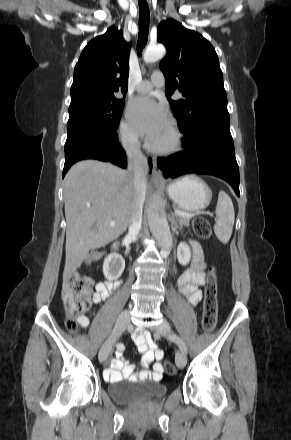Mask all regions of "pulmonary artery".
<instances>
[{
  "mask_svg": "<svg viewBox=\"0 0 291 440\" xmlns=\"http://www.w3.org/2000/svg\"><path fill=\"white\" fill-rule=\"evenodd\" d=\"M165 84V78L162 73H154L150 79L140 81L136 87V91L139 93L149 92L153 87H162Z\"/></svg>",
  "mask_w": 291,
  "mask_h": 440,
  "instance_id": "e3ab8cb5",
  "label": "pulmonary artery"
}]
</instances>
